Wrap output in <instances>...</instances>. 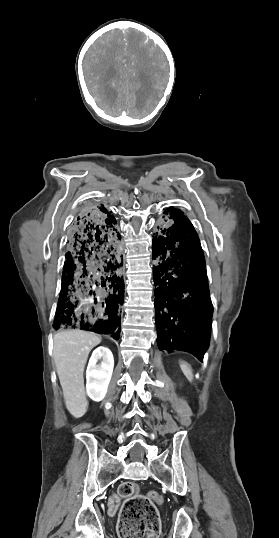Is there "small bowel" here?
Returning <instances> with one entry per match:
<instances>
[{
    "label": "small bowel",
    "instance_id": "small-bowel-1",
    "mask_svg": "<svg viewBox=\"0 0 279 538\" xmlns=\"http://www.w3.org/2000/svg\"><path fill=\"white\" fill-rule=\"evenodd\" d=\"M119 498L116 495H113L110 497L108 501V513L109 515L113 516L116 514L118 507H119Z\"/></svg>",
    "mask_w": 279,
    "mask_h": 538
}]
</instances>
